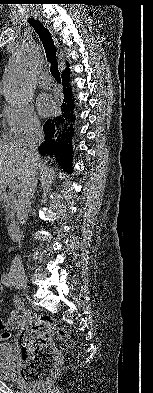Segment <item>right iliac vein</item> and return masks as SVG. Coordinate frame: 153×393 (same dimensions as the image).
<instances>
[{
    "instance_id": "right-iliac-vein-1",
    "label": "right iliac vein",
    "mask_w": 153,
    "mask_h": 393,
    "mask_svg": "<svg viewBox=\"0 0 153 393\" xmlns=\"http://www.w3.org/2000/svg\"><path fill=\"white\" fill-rule=\"evenodd\" d=\"M13 277H14L16 283L19 284L20 286H22L28 292L27 281H26L25 276L20 273H15L13 275Z\"/></svg>"
}]
</instances>
